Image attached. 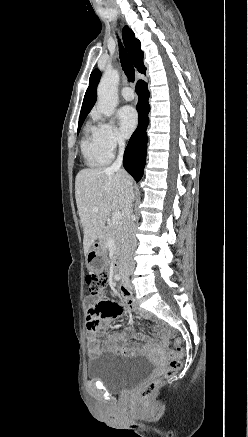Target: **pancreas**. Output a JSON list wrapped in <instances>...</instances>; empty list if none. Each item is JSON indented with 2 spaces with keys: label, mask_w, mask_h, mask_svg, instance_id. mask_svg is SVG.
Masks as SVG:
<instances>
[{
  "label": "pancreas",
  "mask_w": 248,
  "mask_h": 437,
  "mask_svg": "<svg viewBox=\"0 0 248 437\" xmlns=\"http://www.w3.org/2000/svg\"><path fill=\"white\" fill-rule=\"evenodd\" d=\"M110 237L113 239L116 249H118L120 247L121 240H122V225L121 224L113 225L112 223H110L105 227V229L103 231V237H102V242L104 245L107 244V241Z\"/></svg>",
  "instance_id": "cf45deb5"
}]
</instances>
